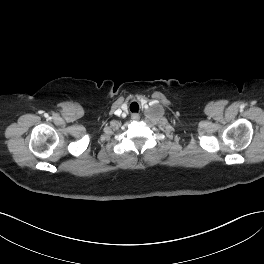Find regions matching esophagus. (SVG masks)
Listing matches in <instances>:
<instances>
[{
    "mask_svg": "<svg viewBox=\"0 0 264 264\" xmlns=\"http://www.w3.org/2000/svg\"><path fill=\"white\" fill-rule=\"evenodd\" d=\"M132 117L133 118H138V114L135 113V114L132 115Z\"/></svg>",
    "mask_w": 264,
    "mask_h": 264,
    "instance_id": "esophagus-1",
    "label": "esophagus"
}]
</instances>
